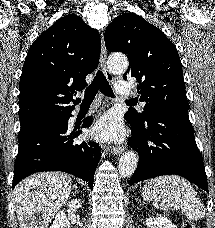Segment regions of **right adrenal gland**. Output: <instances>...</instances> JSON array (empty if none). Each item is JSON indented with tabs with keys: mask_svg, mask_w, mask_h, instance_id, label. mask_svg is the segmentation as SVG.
Wrapping results in <instances>:
<instances>
[{
	"mask_svg": "<svg viewBox=\"0 0 215 228\" xmlns=\"http://www.w3.org/2000/svg\"><path fill=\"white\" fill-rule=\"evenodd\" d=\"M74 188H75L76 192H79V188H78V186H76V184H74Z\"/></svg>",
	"mask_w": 215,
	"mask_h": 228,
	"instance_id": "right-adrenal-gland-1",
	"label": "right adrenal gland"
}]
</instances>
